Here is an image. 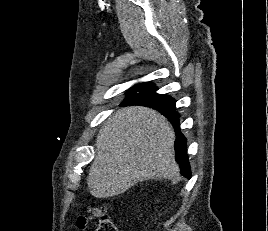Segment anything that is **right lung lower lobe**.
<instances>
[{
    "instance_id": "1",
    "label": "right lung lower lobe",
    "mask_w": 268,
    "mask_h": 231,
    "mask_svg": "<svg viewBox=\"0 0 268 231\" xmlns=\"http://www.w3.org/2000/svg\"><path fill=\"white\" fill-rule=\"evenodd\" d=\"M120 105H139L135 103H121ZM175 106L165 109L158 110L161 114H163L168 120L172 123L175 131H176V142H175V159L176 162L180 165V172L186 178L191 177L190 166L188 162V155L186 150V138L182 135L179 129V114L174 110Z\"/></svg>"
}]
</instances>
